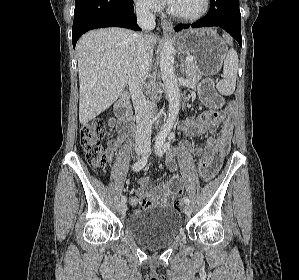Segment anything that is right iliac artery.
<instances>
[{"label":"right iliac artery","mask_w":299,"mask_h":280,"mask_svg":"<svg viewBox=\"0 0 299 280\" xmlns=\"http://www.w3.org/2000/svg\"><path fill=\"white\" fill-rule=\"evenodd\" d=\"M147 160H148V154L145 155L144 157H142L141 159H139L134 165H133V170L134 171H140L147 163ZM121 201L122 202H126L127 201V198L126 196H122L121 198Z\"/></svg>","instance_id":"1"}]
</instances>
